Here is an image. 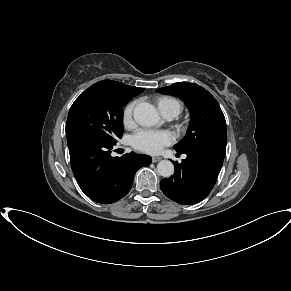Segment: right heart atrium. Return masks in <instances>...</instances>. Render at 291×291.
<instances>
[{"mask_svg":"<svg viewBox=\"0 0 291 291\" xmlns=\"http://www.w3.org/2000/svg\"><path fill=\"white\" fill-rule=\"evenodd\" d=\"M135 101L130 102L123 110L122 120L126 127H130L133 124V112L135 108Z\"/></svg>","mask_w":291,"mask_h":291,"instance_id":"1","label":"right heart atrium"}]
</instances>
